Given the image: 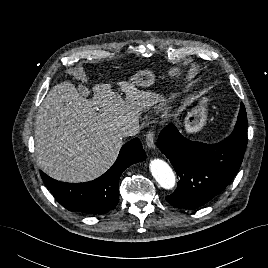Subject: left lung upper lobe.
<instances>
[{"mask_svg":"<svg viewBox=\"0 0 268 268\" xmlns=\"http://www.w3.org/2000/svg\"><path fill=\"white\" fill-rule=\"evenodd\" d=\"M238 128H242V129H245V130L247 129V115H246L245 108H243V109L240 108L238 119H237V122H236L234 130H236ZM240 139H241L242 142L247 143L246 132L241 134Z\"/></svg>","mask_w":268,"mask_h":268,"instance_id":"5c2ea615","label":"left lung upper lobe"}]
</instances>
